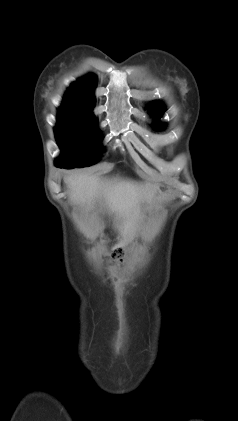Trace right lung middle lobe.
<instances>
[{"label": "right lung middle lobe", "mask_w": 238, "mask_h": 421, "mask_svg": "<svg viewBox=\"0 0 238 421\" xmlns=\"http://www.w3.org/2000/svg\"><path fill=\"white\" fill-rule=\"evenodd\" d=\"M92 107L93 104L64 101L58 111L55 136L61 156L55 164L62 168L85 167L96 162L101 136L91 113Z\"/></svg>", "instance_id": "dd1d6c3e"}]
</instances>
